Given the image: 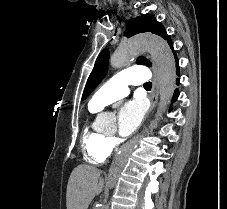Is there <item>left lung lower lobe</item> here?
<instances>
[{"instance_id": "0a47b994", "label": "left lung lower lobe", "mask_w": 227, "mask_h": 209, "mask_svg": "<svg viewBox=\"0 0 227 209\" xmlns=\"http://www.w3.org/2000/svg\"><path fill=\"white\" fill-rule=\"evenodd\" d=\"M174 55H175V61H176V66H177V75H179V68H178V65H179V62H178V59L176 57V52L175 50L173 49V47H171ZM179 84V79H177V85ZM179 96V92L178 90H175V93H174V96H173V102L176 101V99L178 98Z\"/></svg>"}]
</instances>
